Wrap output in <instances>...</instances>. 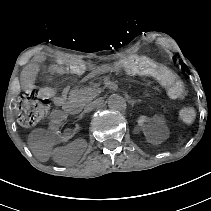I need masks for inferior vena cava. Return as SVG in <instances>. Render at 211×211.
I'll list each match as a JSON object with an SVG mask.
<instances>
[{
  "instance_id": "602c4592",
  "label": "inferior vena cava",
  "mask_w": 211,
  "mask_h": 211,
  "mask_svg": "<svg viewBox=\"0 0 211 211\" xmlns=\"http://www.w3.org/2000/svg\"><path fill=\"white\" fill-rule=\"evenodd\" d=\"M96 106L95 102H91L88 105H86V107L84 108L85 112H90L94 109V107Z\"/></svg>"
}]
</instances>
